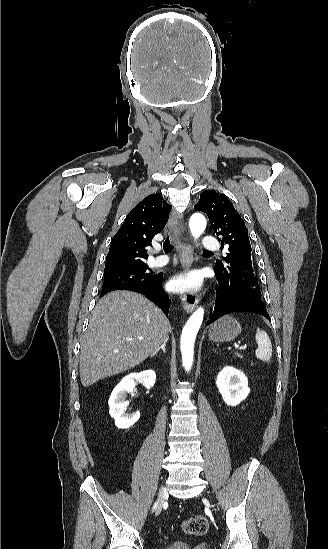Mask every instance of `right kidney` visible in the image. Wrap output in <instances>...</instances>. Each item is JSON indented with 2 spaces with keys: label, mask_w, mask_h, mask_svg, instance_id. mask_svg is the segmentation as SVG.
Masks as SVG:
<instances>
[{
  "label": "right kidney",
  "mask_w": 328,
  "mask_h": 549,
  "mask_svg": "<svg viewBox=\"0 0 328 549\" xmlns=\"http://www.w3.org/2000/svg\"><path fill=\"white\" fill-rule=\"evenodd\" d=\"M155 381V371H142V373H130V375H126L116 385L110 395L108 405L109 413L115 419V425H117L118 429H129V427H132L140 419L139 411L133 413V415L125 413V409L129 405L128 401H124L126 393H132L138 383H143L146 389H151L155 385Z\"/></svg>",
  "instance_id": "right-kidney-1"
}]
</instances>
